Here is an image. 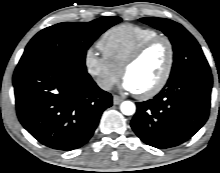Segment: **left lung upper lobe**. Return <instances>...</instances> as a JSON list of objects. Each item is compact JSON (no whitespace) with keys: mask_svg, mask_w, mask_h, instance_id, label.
Here are the masks:
<instances>
[{"mask_svg":"<svg viewBox=\"0 0 220 173\" xmlns=\"http://www.w3.org/2000/svg\"><path fill=\"white\" fill-rule=\"evenodd\" d=\"M145 24L163 31L173 45L174 62L168 83L185 75L210 73L209 64L195 38L180 24L164 18H141Z\"/></svg>","mask_w":220,"mask_h":173,"instance_id":"1","label":"left lung upper lobe"}]
</instances>
